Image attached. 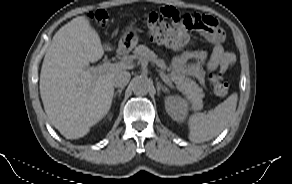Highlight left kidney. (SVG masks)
<instances>
[{"label":"left kidney","mask_w":292,"mask_h":184,"mask_svg":"<svg viewBox=\"0 0 292 184\" xmlns=\"http://www.w3.org/2000/svg\"><path fill=\"white\" fill-rule=\"evenodd\" d=\"M188 102L180 96L165 98V109L168 115L177 122H182L188 113Z\"/></svg>","instance_id":"5707ae66"}]
</instances>
